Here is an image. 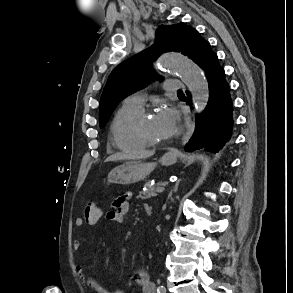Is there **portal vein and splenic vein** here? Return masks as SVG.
I'll return each mask as SVG.
<instances>
[{"instance_id":"1","label":"portal vein and splenic vein","mask_w":293,"mask_h":293,"mask_svg":"<svg viewBox=\"0 0 293 293\" xmlns=\"http://www.w3.org/2000/svg\"><path fill=\"white\" fill-rule=\"evenodd\" d=\"M165 190V187L161 186L156 189V192L162 193Z\"/></svg>"}]
</instances>
